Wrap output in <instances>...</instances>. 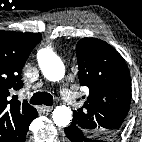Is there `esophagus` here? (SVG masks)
<instances>
[{
    "instance_id": "1",
    "label": "esophagus",
    "mask_w": 142,
    "mask_h": 142,
    "mask_svg": "<svg viewBox=\"0 0 142 142\" xmlns=\"http://www.w3.org/2000/svg\"><path fill=\"white\" fill-rule=\"evenodd\" d=\"M42 108L45 112H51L53 110L52 106H42Z\"/></svg>"
}]
</instances>
